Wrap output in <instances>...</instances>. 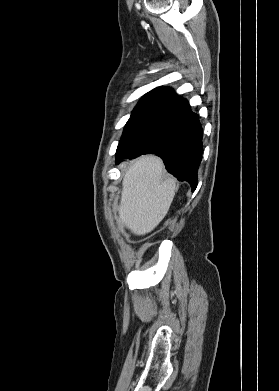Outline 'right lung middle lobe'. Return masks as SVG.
<instances>
[{"label":"right lung middle lobe","instance_id":"dd1d6c3e","mask_svg":"<svg viewBox=\"0 0 279 391\" xmlns=\"http://www.w3.org/2000/svg\"><path fill=\"white\" fill-rule=\"evenodd\" d=\"M160 112V109H134L130 119L125 125L118 148L128 144L141 134Z\"/></svg>","mask_w":279,"mask_h":391}]
</instances>
